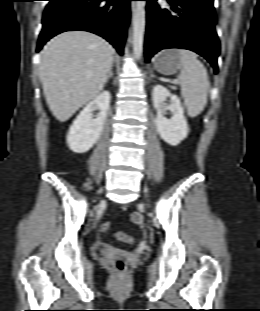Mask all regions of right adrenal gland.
I'll return each instance as SVG.
<instances>
[{"instance_id": "right-adrenal-gland-1", "label": "right adrenal gland", "mask_w": 260, "mask_h": 311, "mask_svg": "<svg viewBox=\"0 0 260 311\" xmlns=\"http://www.w3.org/2000/svg\"><path fill=\"white\" fill-rule=\"evenodd\" d=\"M113 63H114V60L112 61V65H111V68L107 74V78H106V81H105V84L108 82V80L113 76V72H112V66H113Z\"/></svg>"}]
</instances>
